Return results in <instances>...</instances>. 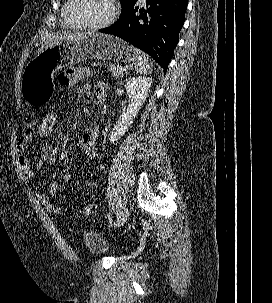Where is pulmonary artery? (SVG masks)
<instances>
[{
    "label": "pulmonary artery",
    "mask_w": 272,
    "mask_h": 303,
    "mask_svg": "<svg viewBox=\"0 0 272 303\" xmlns=\"http://www.w3.org/2000/svg\"><path fill=\"white\" fill-rule=\"evenodd\" d=\"M141 3H144L145 2V0H139Z\"/></svg>",
    "instance_id": "e3ab8cb5"
}]
</instances>
